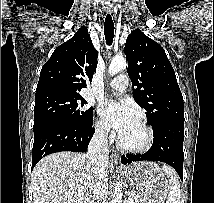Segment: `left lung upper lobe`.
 <instances>
[{
	"label": "left lung upper lobe",
	"mask_w": 214,
	"mask_h": 203,
	"mask_svg": "<svg viewBox=\"0 0 214 203\" xmlns=\"http://www.w3.org/2000/svg\"><path fill=\"white\" fill-rule=\"evenodd\" d=\"M124 52L134 100L157 133L165 123L184 122L183 96L165 50L140 29L128 35Z\"/></svg>",
	"instance_id": "1"
}]
</instances>
